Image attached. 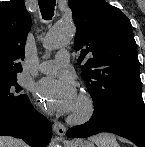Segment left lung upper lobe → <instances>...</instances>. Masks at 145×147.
<instances>
[{
  "label": "left lung upper lobe",
  "instance_id": "5c2ea615",
  "mask_svg": "<svg viewBox=\"0 0 145 147\" xmlns=\"http://www.w3.org/2000/svg\"><path fill=\"white\" fill-rule=\"evenodd\" d=\"M76 25L78 64L95 106L104 117L114 107L142 98L137 45L130 20L105 0H69Z\"/></svg>",
  "mask_w": 145,
  "mask_h": 147
}]
</instances>
